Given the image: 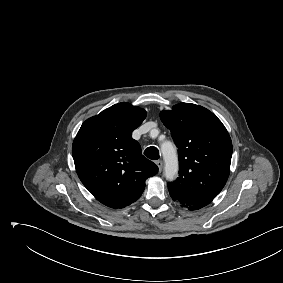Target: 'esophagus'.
Segmentation results:
<instances>
[{"label": "esophagus", "mask_w": 283, "mask_h": 283, "mask_svg": "<svg viewBox=\"0 0 283 283\" xmlns=\"http://www.w3.org/2000/svg\"><path fill=\"white\" fill-rule=\"evenodd\" d=\"M156 165L158 166L159 171H161L163 167V162L161 160H157Z\"/></svg>", "instance_id": "esophagus-1"}]
</instances>
